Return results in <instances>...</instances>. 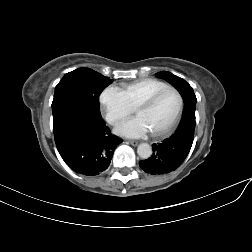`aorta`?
I'll list each match as a JSON object with an SVG mask.
<instances>
[{
    "label": "aorta",
    "mask_w": 252,
    "mask_h": 252,
    "mask_svg": "<svg viewBox=\"0 0 252 252\" xmlns=\"http://www.w3.org/2000/svg\"><path fill=\"white\" fill-rule=\"evenodd\" d=\"M137 154L142 159H148L152 155V147L147 143H142L137 148Z\"/></svg>",
    "instance_id": "762f6f07"
}]
</instances>
